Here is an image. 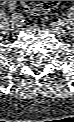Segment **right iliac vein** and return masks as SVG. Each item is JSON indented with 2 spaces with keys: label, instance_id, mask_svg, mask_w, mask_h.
Wrapping results in <instances>:
<instances>
[{
  "label": "right iliac vein",
  "instance_id": "1",
  "mask_svg": "<svg viewBox=\"0 0 74 122\" xmlns=\"http://www.w3.org/2000/svg\"><path fill=\"white\" fill-rule=\"evenodd\" d=\"M14 24H16V22H15V23H12V25H14ZM12 30H13L14 32H17V31L19 30V25L13 26V27H12Z\"/></svg>",
  "mask_w": 74,
  "mask_h": 122
}]
</instances>
